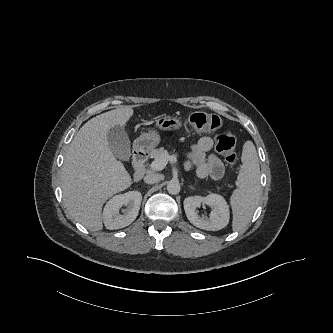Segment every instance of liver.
I'll return each mask as SVG.
<instances>
[{"mask_svg": "<svg viewBox=\"0 0 333 333\" xmlns=\"http://www.w3.org/2000/svg\"><path fill=\"white\" fill-rule=\"evenodd\" d=\"M132 115L133 109L125 106L93 117L77 132L65 155L61 174L63 201L68 213L88 230L103 229V204L132 183L107 139L112 127L125 126Z\"/></svg>", "mask_w": 333, "mask_h": 333, "instance_id": "obj_1", "label": "liver"}]
</instances>
